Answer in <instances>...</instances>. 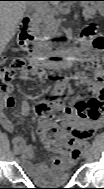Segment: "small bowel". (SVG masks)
Returning <instances> with one entry per match:
<instances>
[{"mask_svg": "<svg viewBox=\"0 0 104 189\" xmlns=\"http://www.w3.org/2000/svg\"><path fill=\"white\" fill-rule=\"evenodd\" d=\"M29 74L40 75V72L36 71L32 67H29L22 71L20 78L26 81L29 78ZM71 80L87 85V90L90 94L94 95L91 100L102 101V96L104 93L103 85L99 81L91 80L90 78L77 73L71 77ZM68 87L67 83H59L54 89V95H62ZM84 98L78 99L76 102L71 103L69 113L60 115L52 123L61 130L62 138L65 139V147L55 148L48 145V148L55 153L51 158V162L56 166H70L74 161H76L80 155L81 147L85 139L90 138L93 133L102 126V114L100 116L87 115L85 105L87 102ZM14 105V104H13ZM10 106V107H13ZM53 105L64 107L61 101L53 102ZM48 106L47 103H41L37 106ZM9 106L3 104L0 111V122L3 128L7 132H12L14 130V124L6 113V109ZM30 112V104L28 102H23L21 106V116H27ZM40 130L45 128L50 124L48 121L40 120ZM17 146L20 149L22 155V161L25 168L32 174H41L44 172L45 168L48 167L46 164L33 165L31 160L33 158L34 152L33 148L28 144L26 139L22 136H16L14 138Z\"/></svg>", "mask_w": 104, "mask_h": 189, "instance_id": "obj_1", "label": "small bowel"}]
</instances>
